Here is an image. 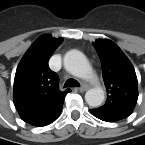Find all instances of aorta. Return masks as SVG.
<instances>
[{
  "label": "aorta",
  "instance_id": "obj_1",
  "mask_svg": "<svg viewBox=\"0 0 145 145\" xmlns=\"http://www.w3.org/2000/svg\"><path fill=\"white\" fill-rule=\"evenodd\" d=\"M65 68L74 76L82 79L93 77L92 69L85 58L79 51H70L64 57ZM105 93L101 87H95L88 90L85 94V100L90 107L97 108L104 102Z\"/></svg>",
  "mask_w": 145,
  "mask_h": 145
}]
</instances>
